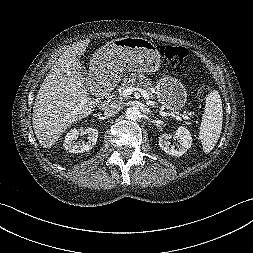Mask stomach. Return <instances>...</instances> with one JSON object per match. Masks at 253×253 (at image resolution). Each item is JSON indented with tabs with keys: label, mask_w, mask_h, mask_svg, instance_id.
<instances>
[{
	"label": "stomach",
	"mask_w": 253,
	"mask_h": 253,
	"mask_svg": "<svg viewBox=\"0 0 253 253\" xmlns=\"http://www.w3.org/2000/svg\"><path fill=\"white\" fill-rule=\"evenodd\" d=\"M160 54L145 38L126 37L112 40L99 49L91 60L92 76H119L123 71L154 73L159 71ZM158 101L173 112L182 109L187 101L183 83L175 77L162 75L156 84Z\"/></svg>",
	"instance_id": "obj_1"
}]
</instances>
